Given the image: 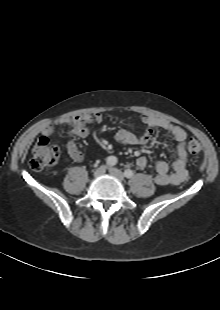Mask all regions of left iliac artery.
I'll return each mask as SVG.
<instances>
[{
	"instance_id": "1",
	"label": "left iliac artery",
	"mask_w": 220,
	"mask_h": 310,
	"mask_svg": "<svg viewBox=\"0 0 220 310\" xmlns=\"http://www.w3.org/2000/svg\"><path fill=\"white\" fill-rule=\"evenodd\" d=\"M124 175H125V177H127V178H132L133 175H134V173H133L132 170L127 169V170L124 171Z\"/></svg>"
}]
</instances>
